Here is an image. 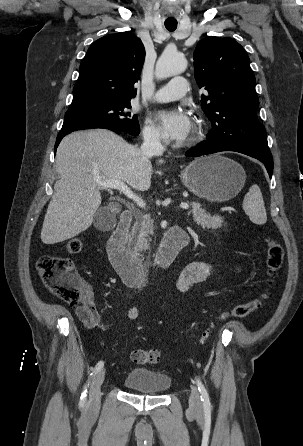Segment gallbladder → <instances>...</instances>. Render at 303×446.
Instances as JSON below:
<instances>
[{"mask_svg": "<svg viewBox=\"0 0 303 446\" xmlns=\"http://www.w3.org/2000/svg\"><path fill=\"white\" fill-rule=\"evenodd\" d=\"M114 221L115 218L113 214L110 215V213L105 209H100L94 215V225L96 228H99L100 230H105L109 228L110 224H113Z\"/></svg>", "mask_w": 303, "mask_h": 446, "instance_id": "gallbladder-1", "label": "gallbladder"}]
</instances>
